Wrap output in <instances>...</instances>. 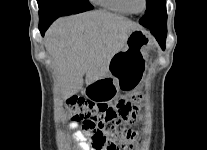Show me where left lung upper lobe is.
Here are the masks:
<instances>
[{"label": "left lung upper lobe", "instance_id": "1", "mask_svg": "<svg viewBox=\"0 0 207 150\" xmlns=\"http://www.w3.org/2000/svg\"><path fill=\"white\" fill-rule=\"evenodd\" d=\"M145 15L139 20V23L148 29L167 28V12L165 0H146Z\"/></svg>", "mask_w": 207, "mask_h": 150}]
</instances>
